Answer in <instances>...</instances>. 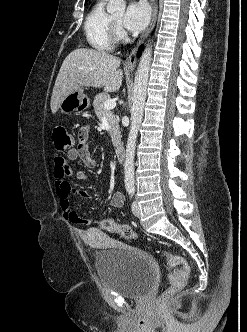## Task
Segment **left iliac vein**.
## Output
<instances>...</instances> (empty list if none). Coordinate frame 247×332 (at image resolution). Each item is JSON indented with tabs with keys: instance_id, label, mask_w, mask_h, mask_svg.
<instances>
[{
	"instance_id": "obj_1",
	"label": "left iliac vein",
	"mask_w": 247,
	"mask_h": 332,
	"mask_svg": "<svg viewBox=\"0 0 247 332\" xmlns=\"http://www.w3.org/2000/svg\"><path fill=\"white\" fill-rule=\"evenodd\" d=\"M132 212L136 217L141 216V211L136 201H134L132 204Z\"/></svg>"
}]
</instances>
